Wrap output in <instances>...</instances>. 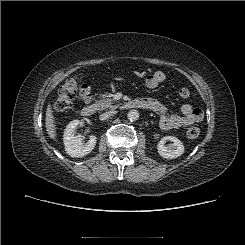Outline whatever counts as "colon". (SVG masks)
Wrapping results in <instances>:
<instances>
[{
	"instance_id": "obj_1",
	"label": "colon",
	"mask_w": 245,
	"mask_h": 245,
	"mask_svg": "<svg viewBox=\"0 0 245 245\" xmlns=\"http://www.w3.org/2000/svg\"><path fill=\"white\" fill-rule=\"evenodd\" d=\"M85 85H79L76 78H70L59 89L57 99L54 107L58 112H65L72 108L75 98L84 89ZM190 95L188 88H181L179 90V96L181 98H187ZM200 134V130L197 127H191L187 130V137L189 139H196Z\"/></svg>"
}]
</instances>
